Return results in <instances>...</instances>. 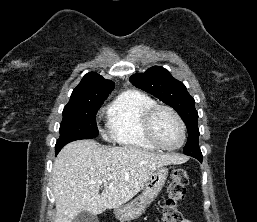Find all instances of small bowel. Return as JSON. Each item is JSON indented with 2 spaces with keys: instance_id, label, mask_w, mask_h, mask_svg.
<instances>
[{
  "instance_id": "1",
  "label": "small bowel",
  "mask_w": 257,
  "mask_h": 222,
  "mask_svg": "<svg viewBox=\"0 0 257 222\" xmlns=\"http://www.w3.org/2000/svg\"><path fill=\"white\" fill-rule=\"evenodd\" d=\"M182 222H192V221L189 220V219L184 218V219H182Z\"/></svg>"
}]
</instances>
